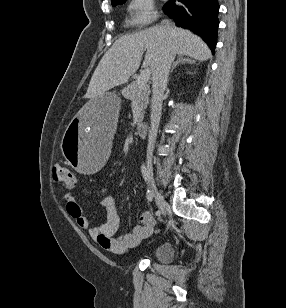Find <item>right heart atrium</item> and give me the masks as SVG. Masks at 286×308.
Masks as SVG:
<instances>
[{
	"mask_svg": "<svg viewBox=\"0 0 286 308\" xmlns=\"http://www.w3.org/2000/svg\"><path fill=\"white\" fill-rule=\"evenodd\" d=\"M127 11L131 22L144 27L156 18L154 0H128Z\"/></svg>",
	"mask_w": 286,
	"mask_h": 308,
	"instance_id": "obj_1",
	"label": "right heart atrium"
}]
</instances>
